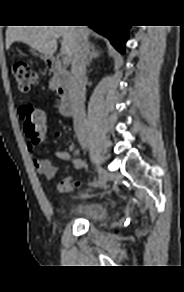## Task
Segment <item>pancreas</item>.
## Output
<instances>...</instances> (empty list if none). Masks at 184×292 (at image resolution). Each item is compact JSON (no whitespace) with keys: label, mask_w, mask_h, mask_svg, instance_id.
<instances>
[{"label":"pancreas","mask_w":184,"mask_h":292,"mask_svg":"<svg viewBox=\"0 0 184 292\" xmlns=\"http://www.w3.org/2000/svg\"><path fill=\"white\" fill-rule=\"evenodd\" d=\"M59 82L60 80L58 79V77L56 75L53 76L52 79L50 80V89L55 90Z\"/></svg>","instance_id":"1"}]
</instances>
